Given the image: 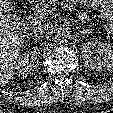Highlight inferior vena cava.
I'll return each instance as SVG.
<instances>
[{"mask_svg": "<svg viewBox=\"0 0 113 113\" xmlns=\"http://www.w3.org/2000/svg\"><path fill=\"white\" fill-rule=\"evenodd\" d=\"M51 28L50 24H41L38 25L33 31L34 33L43 34Z\"/></svg>", "mask_w": 113, "mask_h": 113, "instance_id": "602c4592", "label": "inferior vena cava"}]
</instances>
